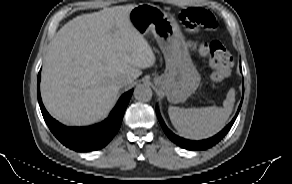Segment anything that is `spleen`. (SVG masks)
<instances>
[{"instance_id": "3e777b00", "label": "spleen", "mask_w": 292, "mask_h": 184, "mask_svg": "<svg viewBox=\"0 0 292 184\" xmlns=\"http://www.w3.org/2000/svg\"><path fill=\"white\" fill-rule=\"evenodd\" d=\"M235 102V91L230 89L223 107L179 108L170 106L168 114L178 133L187 139L201 140L219 132Z\"/></svg>"}]
</instances>
